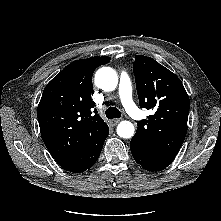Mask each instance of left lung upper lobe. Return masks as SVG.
Returning a JSON list of instances; mask_svg holds the SVG:
<instances>
[{
    "mask_svg": "<svg viewBox=\"0 0 221 221\" xmlns=\"http://www.w3.org/2000/svg\"><path fill=\"white\" fill-rule=\"evenodd\" d=\"M133 68L140 107L155 113L138 122L132 140L154 156L174 159L187 133L186 90L174 73L152 58L136 55Z\"/></svg>",
    "mask_w": 221,
    "mask_h": 221,
    "instance_id": "left-lung-upper-lobe-1",
    "label": "left lung upper lobe"
}]
</instances>
